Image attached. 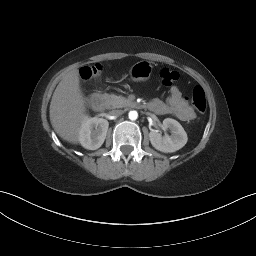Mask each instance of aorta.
<instances>
[{"mask_svg":"<svg viewBox=\"0 0 256 256\" xmlns=\"http://www.w3.org/2000/svg\"><path fill=\"white\" fill-rule=\"evenodd\" d=\"M128 116L130 120H136L138 118V112L135 110L130 111Z\"/></svg>","mask_w":256,"mask_h":256,"instance_id":"1","label":"aorta"}]
</instances>
